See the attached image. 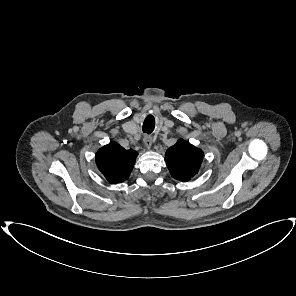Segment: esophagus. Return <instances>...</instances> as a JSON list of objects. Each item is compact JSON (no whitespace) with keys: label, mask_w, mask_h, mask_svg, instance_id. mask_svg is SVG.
I'll return each mask as SVG.
<instances>
[{"label":"esophagus","mask_w":296,"mask_h":296,"mask_svg":"<svg viewBox=\"0 0 296 296\" xmlns=\"http://www.w3.org/2000/svg\"><path fill=\"white\" fill-rule=\"evenodd\" d=\"M143 142L148 149L152 147L153 140L151 136L145 135L143 138Z\"/></svg>","instance_id":"esophagus-1"}]
</instances>
